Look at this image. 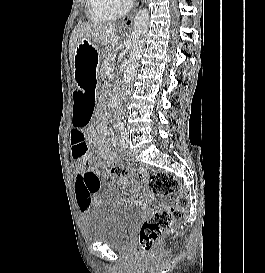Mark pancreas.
Segmentation results:
<instances>
[{
  "label": "pancreas",
  "instance_id": "obj_1",
  "mask_svg": "<svg viewBox=\"0 0 265 273\" xmlns=\"http://www.w3.org/2000/svg\"><path fill=\"white\" fill-rule=\"evenodd\" d=\"M116 53L115 52H109L106 54L101 61V63L98 66V75L102 78L106 77V71L108 68L112 67L114 65Z\"/></svg>",
  "mask_w": 265,
  "mask_h": 273
}]
</instances>
